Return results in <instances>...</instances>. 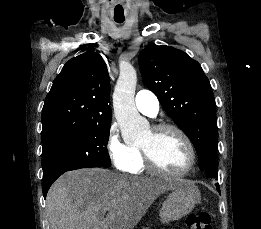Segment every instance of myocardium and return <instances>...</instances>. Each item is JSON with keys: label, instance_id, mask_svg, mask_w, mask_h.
I'll list each match as a JSON object with an SVG mask.
<instances>
[{"label": "myocardium", "instance_id": "obj_1", "mask_svg": "<svg viewBox=\"0 0 261 229\" xmlns=\"http://www.w3.org/2000/svg\"><path fill=\"white\" fill-rule=\"evenodd\" d=\"M165 131H174L183 139V141L188 149V152H189L188 165L186 166L185 169H183L181 171H168V170L164 169L163 167H161L156 162L155 158L153 157V155L148 147L140 145L139 148L142 152L145 164L150 171H152L156 174L162 175V176H168V177L184 176V175L188 174L194 168L195 163H196V153H195L194 145H193L191 139L189 138V136L185 133V131H183L178 126H175L172 124H160V125L152 127L150 130L151 135L153 137H157L158 135H160L161 133H163Z\"/></svg>", "mask_w": 261, "mask_h": 229}]
</instances>
